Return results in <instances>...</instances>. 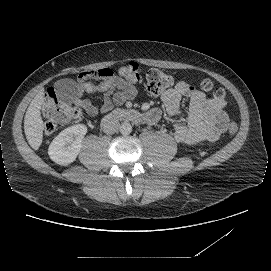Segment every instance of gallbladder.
<instances>
[{"label":"gallbladder","mask_w":271,"mask_h":271,"mask_svg":"<svg viewBox=\"0 0 271 271\" xmlns=\"http://www.w3.org/2000/svg\"><path fill=\"white\" fill-rule=\"evenodd\" d=\"M55 97L62 104H71L78 97V88L69 79L58 80L55 85Z\"/></svg>","instance_id":"1"}]
</instances>
